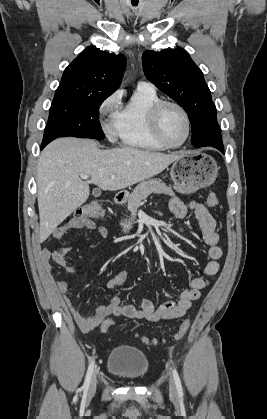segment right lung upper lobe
I'll return each mask as SVG.
<instances>
[{
	"instance_id": "1",
	"label": "right lung upper lobe",
	"mask_w": 267,
	"mask_h": 419,
	"mask_svg": "<svg viewBox=\"0 0 267 419\" xmlns=\"http://www.w3.org/2000/svg\"><path fill=\"white\" fill-rule=\"evenodd\" d=\"M126 57L87 47L66 67L55 95H108L120 86Z\"/></svg>"
}]
</instances>
